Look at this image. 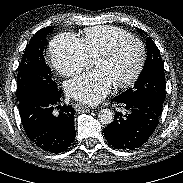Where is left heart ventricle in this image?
Masks as SVG:
<instances>
[{
  "mask_svg": "<svg viewBox=\"0 0 183 183\" xmlns=\"http://www.w3.org/2000/svg\"><path fill=\"white\" fill-rule=\"evenodd\" d=\"M140 46L135 42L124 44L113 56L105 59H94V70L103 71L112 84L121 82L136 69L140 60Z\"/></svg>",
  "mask_w": 183,
  "mask_h": 183,
  "instance_id": "obj_1",
  "label": "left heart ventricle"
}]
</instances>
